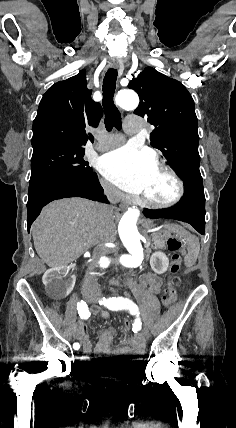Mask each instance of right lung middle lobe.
Returning <instances> with one entry per match:
<instances>
[{"mask_svg": "<svg viewBox=\"0 0 236 428\" xmlns=\"http://www.w3.org/2000/svg\"><path fill=\"white\" fill-rule=\"evenodd\" d=\"M78 143H52L33 149L30 183L59 175H85L92 172L83 159L85 150Z\"/></svg>", "mask_w": 236, "mask_h": 428, "instance_id": "1", "label": "right lung middle lobe"}]
</instances>
